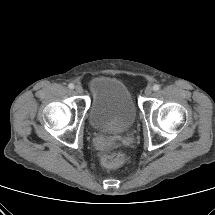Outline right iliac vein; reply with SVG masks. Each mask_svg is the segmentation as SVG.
I'll list each match as a JSON object with an SVG mask.
<instances>
[{
  "mask_svg": "<svg viewBox=\"0 0 215 215\" xmlns=\"http://www.w3.org/2000/svg\"><path fill=\"white\" fill-rule=\"evenodd\" d=\"M75 91L78 93V94H82L83 93V88L80 86V85H77L75 87Z\"/></svg>",
  "mask_w": 215,
  "mask_h": 215,
  "instance_id": "63e3f726",
  "label": "right iliac vein"
}]
</instances>
